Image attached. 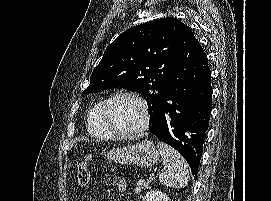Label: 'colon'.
I'll list each match as a JSON object with an SVG mask.
<instances>
[{
  "label": "colon",
  "mask_w": 271,
  "mask_h": 201,
  "mask_svg": "<svg viewBox=\"0 0 271 201\" xmlns=\"http://www.w3.org/2000/svg\"><path fill=\"white\" fill-rule=\"evenodd\" d=\"M89 161L90 156H86L77 167V182L81 188L86 187L89 182Z\"/></svg>",
  "instance_id": "obj_1"
}]
</instances>
